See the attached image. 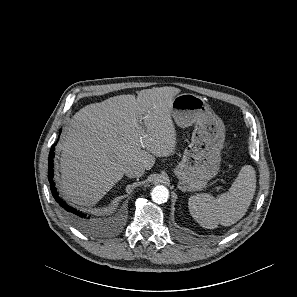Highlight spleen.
Returning <instances> with one entry per match:
<instances>
[{
	"instance_id": "1",
	"label": "spleen",
	"mask_w": 297,
	"mask_h": 297,
	"mask_svg": "<svg viewBox=\"0 0 297 297\" xmlns=\"http://www.w3.org/2000/svg\"><path fill=\"white\" fill-rule=\"evenodd\" d=\"M256 190V172L244 165L229 192L218 199L209 194L191 196L188 201L191 216L204 228L214 229L219 224L230 226L247 212Z\"/></svg>"
}]
</instances>
